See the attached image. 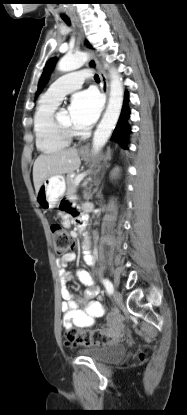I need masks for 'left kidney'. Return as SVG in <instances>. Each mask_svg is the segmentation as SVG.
Masks as SVG:
<instances>
[{"instance_id":"1","label":"left kidney","mask_w":187,"mask_h":415,"mask_svg":"<svg viewBox=\"0 0 187 415\" xmlns=\"http://www.w3.org/2000/svg\"><path fill=\"white\" fill-rule=\"evenodd\" d=\"M118 169H114V171L112 172V175L115 174V171H117Z\"/></svg>"}]
</instances>
